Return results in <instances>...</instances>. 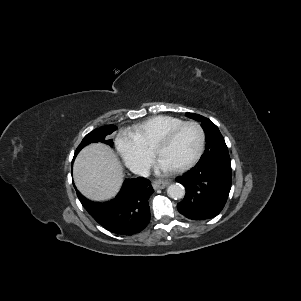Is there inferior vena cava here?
Masks as SVG:
<instances>
[{
	"label": "inferior vena cava",
	"instance_id": "obj_1",
	"mask_svg": "<svg viewBox=\"0 0 301 301\" xmlns=\"http://www.w3.org/2000/svg\"><path fill=\"white\" fill-rule=\"evenodd\" d=\"M131 171L139 176H149L150 174L149 168L141 165L132 167Z\"/></svg>",
	"mask_w": 301,
	"mask_h": 301
}]
</instances>
